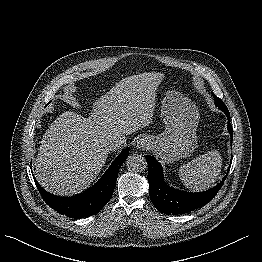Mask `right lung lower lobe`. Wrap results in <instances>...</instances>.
<instances>
[{
	"label": "right lung lower lobe",
	"instance_id": "98d812e1",
	"mask_svg": "<svg viewBox=\"0 0 262 262\" xmlns=\"http://www.w3.org/2000/svg\"><path fill=\"white\" fill-rule=\"evenodd\" d=\"M129 148L123 150L104 175L90 189L72 197H58L35 184L44 201L55 211L70 218H84L98 213L110 200L115 188L118 171L129 156Z\"/></svg>",
	"mask_w": 262,
	"mask_h": 262
}]
</instances>
